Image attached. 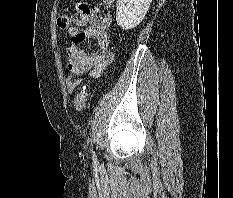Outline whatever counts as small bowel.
Segmentation results:
<instances>
[{
	"mask_svg": "<svg viewBox=\"0 0 233 198\" xmlns=\"http://www.w3.org/2000/svg\"><path fill=\"white\" fill-rule=\"evenodd\" d=\"M103 2L111 5L114 0ZM72 22L74 25L67 30L71 44L66 50L70 71L66 78V87L69 93L77 89L81 75L87 74L91 78H97L113 60V53L109 47V28L112 23V15L109 12L102 13L81 3L72 16ZM87 39H94L97 42L98 52L88 54L81 47Z\"/></svg>",
	"mask_w": 233,
	"mask_h": 198,
	"instance_id": "small-bowel-1",
	"label": "small bowel"
}]
</instances>
